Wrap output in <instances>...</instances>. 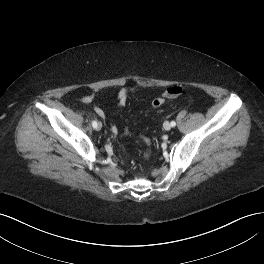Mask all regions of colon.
<instances>
[{
	"mask_svg": "<svg viewBox=\"0 0 264 264\" xmlns=\"http://www.w3.org/2000/svg\"><path fill=\"white\" fill-rule=\"evenodd\" d=\"M165 99L163 97H156L153 99L152 104L154 107H159L164 103ZM143 142L145 144V152H144V159L147 160L150 157L151 154V145L152 141L150 138L144 137Z\"/></svg>",
	"mask_w": 264,
	"mask_h": 264,
	"instance_id": "5ec220e1",
	"label": "colon"
}]
</instances>
